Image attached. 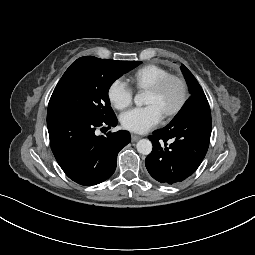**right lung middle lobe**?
Segmentation results:
<instances>
[{
	"label": "right lung middle lobe",
	"instance_id": "dd1d6c3e",
	"mask_svg": "<svg viewBox=\"0 0 255 255\" xmlns=\"http://www.w3.org/2000/svg\"><path fill=\"white\" fill-rule=\"evenodd\" d=\"M141 61H116L85 56L66 70L48 105V112L73 111L101 120L115 116L108 97L112 83Z\"/></svg>",
	"mask_w": 255,
	"mask_h": 255
}]
</instances>
